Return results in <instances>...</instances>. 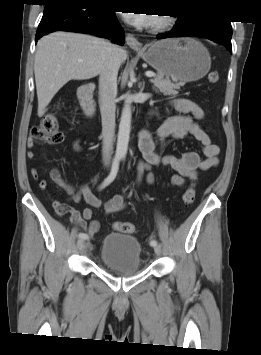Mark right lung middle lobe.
Instances as JSON below:
<instances>
[{"label":"right lung middle lobe","mask_w":261,"mask_h":355,"mask_svg":"<svg viewBox=\"0 0 261 355\" xmlns=\"http://www.w3.org/2000/svg\"><path fill=\"white\" fill-rule=\"evenodd\" d=\"M100 0H86V2L97 4Z\"/></svg>","instance_id":"1"}]
</instances>
